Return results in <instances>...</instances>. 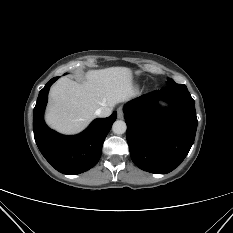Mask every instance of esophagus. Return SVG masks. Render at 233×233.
I'll return each instance as SVG.
<instances>
[{"label": "esophagus", "instance_id": "obj_1", "mask_svg": "<svg viewBox=\"0 0 233 233\" xmlns=\"http://www.w3.org/2000/svg\"><path fill=\"white\" fill-rule=\"evenodd\" d=\"M117 117H118V119H123V117H124V112H123V108H122V107H119V108L117 109Z\"/></svg>", "mask_w": 233, "mask_h": 233}]
</instances>
